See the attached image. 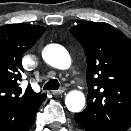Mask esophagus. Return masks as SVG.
Listing matches in <instances>:
<instances>
[{
  "label": "esophagus",
  "mask_w": 131,
  "mask_h": 131,
  "mask_svg": "<svg viewBox=\"0 0 131 131\" xmlns=\"http://www.w3.org/2000/svg\"><path fill=\"white\" fill-rule=\"evenodd\" d=\"M64 91H65V89H64V88H61V89H59V90H54V91H52V94L57 96V95L63 94Z\"/></svg>",
  "instance_id": "34e87169"
}]
</instances>
